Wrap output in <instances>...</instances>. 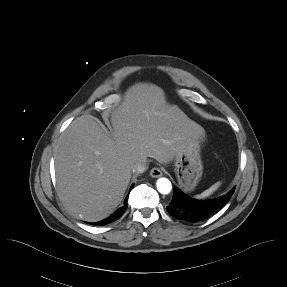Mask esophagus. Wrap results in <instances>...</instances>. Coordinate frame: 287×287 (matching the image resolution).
Segmentation results:
<instances>
[{"label": "esophagus", "mask_w": 287, "mask_h": 287, "mask_svg": "<svg viewBox=\"0 0 287 287\" xmlns=\"http://www.w3.org/2000/svg\"><path fill=\"white\" fill-rule=\"evenodd\" d=\"M150 175L154 178L162 176V169L159 167H154L150 171Z\"/></svg>", "instance_id": "obj_1"}]
</instances>
